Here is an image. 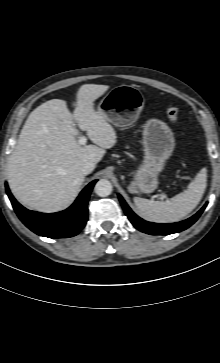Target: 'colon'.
Returning a JSON list of instances; mask_svg holds the SVG:
<instances>
[{"mask_svg": "<svg viewBox=\"0 0 220 363\" xmlns=\"http://www.w3.org/2000/svg\"><path fill=\"white\" fill-rule=\"evenodd\" d=\"M167 117L172 123H175L178 119V109L176 107L168 108Z\"/></svg>", "mask_w": 220, "mask_h": 363, "instance_id": "obj_1", "label": "colon"}]
</instances>
